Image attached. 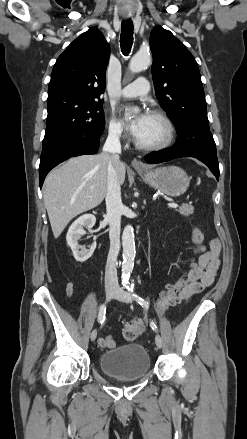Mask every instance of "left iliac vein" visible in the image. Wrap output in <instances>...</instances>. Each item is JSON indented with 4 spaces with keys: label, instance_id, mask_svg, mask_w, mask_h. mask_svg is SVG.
I'll list each match as a JSON object with an SVG mask.
<instances>
[{
    "label": "left iliac vein",
    "instance_id": "1",
    "mask_svg": "<svg viewBox=\"0 0 247 439\" xmlns=\"http://www.w3.org/2000/svg\"><path fill=\"white\" fill-rule=\"evenodd\" d=\"M114 297L117 300L125 302V303H131L133 300L132 296L128 292L123 290L122 288L116 289V293H115ZM155 343L159 349L162 347V338L158 334L155 336Z\"/></svg>",
    "mask_w": 247,
    "mask_h": 439
}]
</instances>
